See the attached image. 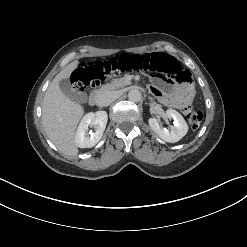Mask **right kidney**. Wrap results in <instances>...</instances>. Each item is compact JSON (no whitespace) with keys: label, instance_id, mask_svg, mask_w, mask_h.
Here are the masks:
<instances>
[{"label":"right kidney","instance_id":"right-kidney-1","mask_svg":"<svg viewBox=\"0 0 247 247\" xmlns=\"http://www.w3.org/2000/svg\"><path fill=\"white\" fill-rule=\"evenodd\" d=\"M108 115L105 111H97L95 113H87L81 120L76 135L75 144L79 148H91L95 146L102 138L103 132L106 128ZM89 126H95L96 131L87 134Z\"/></svg>","mask_w":247,"mask_h":247}]
</instances>
